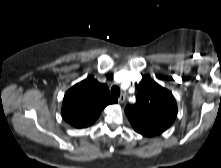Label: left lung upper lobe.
I'll return each mask as SVG.
<instances>
[{"mask_svg": "<svg viewBox=\"0 0 221 168\" xmlns=\"http://www.w3.org/2000/svg\"><path fill=\"white\" fill-rule=\"evenodd\" d=\"M125 113L136 132L153 137L172 125L177 116V105L169 90L146 75L137 87V103L127 106Z\"/></svg>", "mask_w": 221, "mask_h": 168, "instance_id": "5c2ea615", "label": "left lung upper lobe"}]
</instances>
